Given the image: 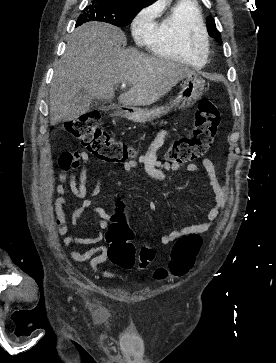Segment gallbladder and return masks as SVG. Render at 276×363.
<instances>
[{
	"mask_svg": "<svg viewBox=\"0 0 276 363\" xmlns=\"http://www.w3.org/2000/svg\"><path fill=\"white\" fill-rule=\"evenodd\" d=\"M98 103L97 99L89 98L86 93L80 91L72 100L70 115L65 120L71 121L89 111L91 105Z\"/></svg>",
	"mask_w": 276,
	"mask_h": 363,
	"instance_id": "obj_1",
	"label": "gallbladder"
}]
</instances>
